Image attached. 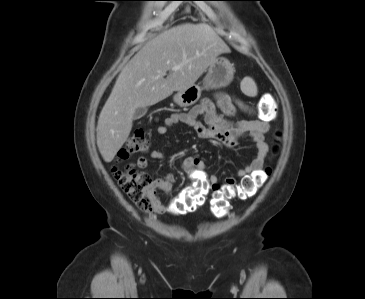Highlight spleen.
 Wrapping results in <instances>:
<instances>
[{
    "label": "spleen",
    "instance_id": "spleen-1",
    "mask_svg": "<svg viewBox=\"0 0 365 299\" xmlns=\"http://www.w3.org/2000/svg\"><path fill=\"white\" fill-rule=\"evenodd\" d=\"M241 88L247 96L255 97L257 95V86L250 77H245L243 79Z\"/></svg>",
    "mask_w": 365,
    "mask_h": 299
}]
</instances>
